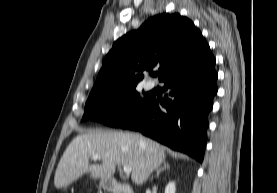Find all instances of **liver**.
Here are the masks:
<instances>
[{"label":"liver","mask_w":277,"mask_h":193,"mask_svg":"<svg viewBox=\"0 0 277 193\" xmlns=\"http://www.w3.org/2000/svg\"><path fill=\"white\" fill-rule=\"evenodd\" d=\"M95 154L100 155L101 164H89ZM165 157L164 146L140 134L90 130L66 148L55 172L54 186L64 188L86 173L95 179H109L116 165L130 166L132 181L142 185Z\"/></svg>","instance_id":"liver-1"}]
</instances>
